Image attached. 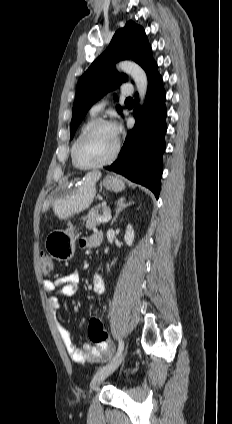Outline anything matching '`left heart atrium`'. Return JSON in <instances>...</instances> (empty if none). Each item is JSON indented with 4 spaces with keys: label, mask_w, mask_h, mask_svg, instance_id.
Returning <instances> with one entry per match:
<instances>
[{
    "label": "left heart atrium",
    "mask_w": 232,
    "mask_h": 424,
    "mask_svg": "<svg viewBox=\"0 0 232 424\" xmlns=\"http://www.w3.org/2000/svg\"><path fill=\"white\" fill-rule=\"evenodd\" d=\"M114 130L116 131V133H118V128L117 127H115Z\"/></svg>",
    "instance_id": "39dd6f15"
}]
</instances>
